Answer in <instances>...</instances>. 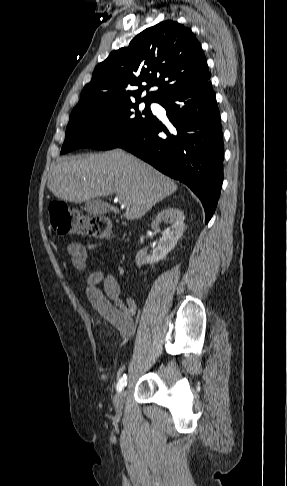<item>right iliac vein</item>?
Listing matches in <instances>:
<instances>
[{
  "mask_svg": "<svg viewBox=\"0 0 287 486\" xmlns=\"http://www.w3.org/2000/svg\"><path fill=\"white\" fill-rule=\"evenodd\" d=\"M125 394H126V391L121 390L120 393L117 396L115 404H116V409H117L118 412H121L122 409H123V402H124Z\"/></svg>",
  "mask_w": 287,
  "mask_h": 486,
  "instance_id": "right-iliac-vein-1",
  "label": "right iliac vein"
}]
</instances>
